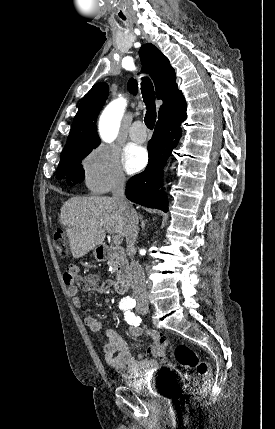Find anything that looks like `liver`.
<instances>
[{
    "label": "liver",
    "instance_id": "1",
    "mask_svg": "<svg viewBox=\"0 0 275 429\" xmlns=\"http://www.w3.org/2000/svg\"><path fill=\"white\" fill-rule=\"evenodd\" d=\"M60 218L76 259L103 243L106 227L121 238L125 236L123 213L111 197H72L63 204Z\"/></svg>",
    "mask_w": 275,
    "mask_h": 429
}]
</instances>
